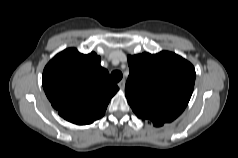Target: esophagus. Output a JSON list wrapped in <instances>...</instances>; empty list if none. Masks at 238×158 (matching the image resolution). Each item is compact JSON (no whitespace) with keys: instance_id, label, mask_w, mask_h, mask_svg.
<instances>
[{"instance_id":"obj_1","label":"esophagus","mask_w":238,"mask_h":158,"mask_svg":"<svg viewBox=\"0 0 238 158\" xmlns=\"http://www.w3.org/2000/svg\"><path fill=\"white\" fill-rule=\"evenodd\" d=\"M118 87L120 90H124L125 88V80H121L119 83H118Z\"/></svg>"}]
</instances>
